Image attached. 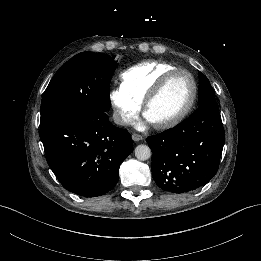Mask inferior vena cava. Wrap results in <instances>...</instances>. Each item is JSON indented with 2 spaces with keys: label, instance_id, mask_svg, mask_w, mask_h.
<instances>
[{
  "label": "inferior vena cava",
  "instance_id": "602c4592",
  "mask_svg": "<svg viewBox=\"0 0 261 261\" xmlns=\"http://www.w3.org/2000/svg\"><path fill=\"white\" fill-rule=\"evenodd\" d=\"M113 120L118 125H128L130 120L121 112H114L113 113Z\"/></svg>",
  "mask_w": 261,
  "mask_h": 261
}]
</instances>
